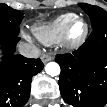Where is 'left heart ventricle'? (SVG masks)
<instances>
[{
	"label": "left heart ventricle",
	"mask_w": 107,
	"mask_h": 107,
	"mask_svg": "<svg viewBox=\"0 0 107 107\" xmlns=\"http://www.w3.org/2000/svg\"><path fill=\"white\" fill-rule=\"evenodd\" d=\"M83 29V23L80 21H76L73 26H72V30H71V34L72 36L76 37L78 36Z\"/></svg>",
	"instance_id": "left-heart-ventricle-1"
}]
</instances>
